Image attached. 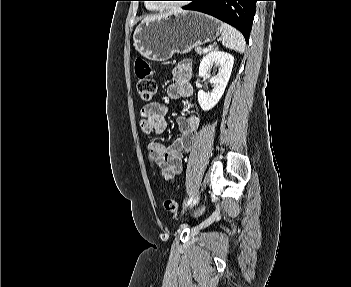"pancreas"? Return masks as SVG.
<instances>
[{
    "instance_id": "1",
    "label": "pancreas",
    "mask_w": 351,
    "mask_h": 287,
    "mask_svg": "<svg viewBox=\"0 0 351 287\" xmlns=\"http://www.w3.org/2000/svg\"><path fill=\"white\" fill-rule=\"evenodd\" d=\"M195 51H196L198 54H203V53H205V52H204V49H203L201 46H199V45L195 46Z\"/></svg>"
}]
</instances>
